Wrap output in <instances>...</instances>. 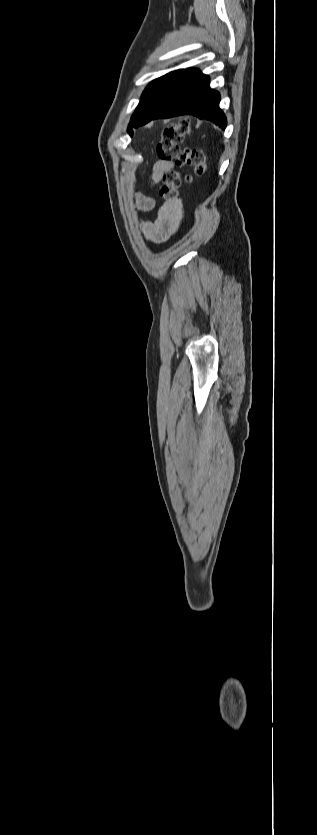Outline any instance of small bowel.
Segmentation results:
<instances>
[{
  "instance_id": "small-bowel-1",
  "label": "small bowel",
  "mask_w": 317,
  "mask_h": 835,
  "mask_svg": "<svg viewBox=\"0 0 317 835\" xmlns=\"http://www.w3.org/2000/svg\"><path fill=\"white\" fill-rule=\"evenodd\" d=\"M173 168L174 163L172 161H158L152 169L149 186L154 187L160 182L164 174ZM134 202L137 209L144 212L152 211L155 208L154 198L141 192L135 194ZM181 219L182 212L179 208L162 207L156 219L144 226L143 230L146 238L156 244L166 242L176 233Z\"/></svg>"
}]
</instances>
